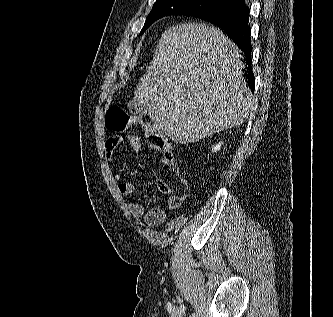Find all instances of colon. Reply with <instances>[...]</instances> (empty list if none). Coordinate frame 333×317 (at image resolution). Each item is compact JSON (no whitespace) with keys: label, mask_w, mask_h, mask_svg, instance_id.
Segmentation results:
<instances>
[{"label":"colon","mask_w":333,"mask_h":317,"mask_svg":"<svg viewBox=\"0 0 333 317\" xmlns=\"http://www.w3.org/2000/svg\"><path fill=\"white\" fill-rule=\"evenodd\" d=\"M106 127L114 133H121L128 128L142 123L139 116L130 114L119 106H111L105 117ZM146 139L149 147L162 154L165 163L173 164L174 157L165 138L157 131L147 130Z\"/></svg>","instance_id":"1"}]
</instances>
